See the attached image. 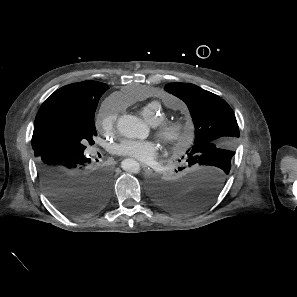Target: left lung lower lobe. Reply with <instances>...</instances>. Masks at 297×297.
I'll list each match as a JSON object with an SVG mask.
<instances>
[{"mask_svg": "<svg viewBox=\"0 0 297 297\" xmlns=\"http://www.w3.org/2000/svg\"><path fill=\"white\" fill-rule=\"evenodd\" d=\"M188 162L190 168L176 179L150 184V193L157 205L177 213H194L206 207L219 194L229 171L213 162L199 166H193L190 160Z\"/></svg>", "mask_w": 297, "mask_h": 297, "instance_id": "left-lung-lower-lobe-1", "label": "left lung lower lobe"}]
</instances>
